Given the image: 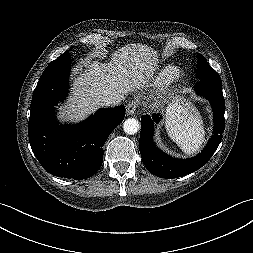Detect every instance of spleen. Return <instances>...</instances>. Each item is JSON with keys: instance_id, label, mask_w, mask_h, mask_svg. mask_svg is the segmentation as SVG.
<instances>
[{"instance_id": "1", "label": "spleen", "mask_w": 253, "mask_h": 253, "mask_svg": "<svg viewBox=\"0 0 253 253\" xmlns=\"http://www.w3.org/2000/svg\"><path fill=\"white\" fill-rule=\"evenodd\" d=\"M168 115L165 127L169 137L187 155L199 151L205 141L203 120L199 112L177 107Z\"/></svg>"}]
</instances>
